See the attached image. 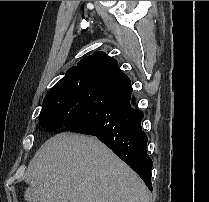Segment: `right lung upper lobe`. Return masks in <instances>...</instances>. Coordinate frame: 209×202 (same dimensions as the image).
I'll use <instances>...</instances> for the list:
<instances>
[{"label": "right lung upper lobe", "mask_w": 209, "mask_h": 202, "mask_svg": "<svg viewBox=\"0 0 209 202\" xmlns=\"http://www.w3.org/2000/svg\"><path fill=\"white\" fill-rule=\"evenodd\" d=\"M115 69H118V63L114 58L109 57L104 52H95L82 58L77 66H73L66 72L62 79L79 74H88L91 78H96Z\"/></svg>", "instance_id": "cb5924a9"}]
</instances>
